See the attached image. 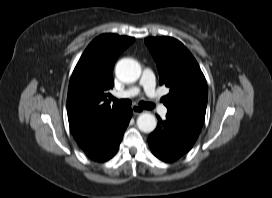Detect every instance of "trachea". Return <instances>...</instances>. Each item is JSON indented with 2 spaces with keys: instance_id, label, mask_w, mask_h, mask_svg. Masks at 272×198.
<instances>
[{
  "instance_id": "obj_1",
  "label": "trachea",
  "mask_w": 272,
  "mask_h": 198,
  "mask_svg": "<svg viewBox=\"0 0 272 198\" xmlns=\"http://www.w3.org/2000/svg\"><path fill=\"white\" fill-rule=\"evenodd\" d=\"M112 100L115 103H117L121 106H124V107H129L131 105V100H129V99L118 100V99L112 97ZM139 105H140V107H142L144 109H148V110H150L154 107L153 103H148V102H144V101L139 102Z\"/></svg>"
}]
</instances>
